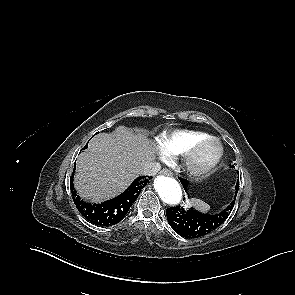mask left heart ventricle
Instances as JSON below:
<instances>
[{
	"mask_svg": "<svg viewBox=\"0 0 295 295\" xmlns=\"http://www.w3.org/2000/svg\"><path fill=\"white\" fill-rule=\"evenodd\" d=\"M215 151L216 149L213 145L206 146L201 150V152L197 156V163L204 164L208 162L215 154Z\"/></svg>",
	"mask_w": 295,
	"mask_h": 295,
	"instance_id": "1",
	"label": "left heart ventricle"
}]
</instances>
